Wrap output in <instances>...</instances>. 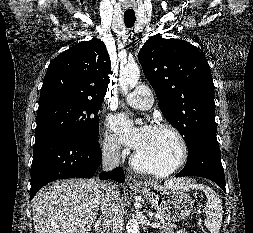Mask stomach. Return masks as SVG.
I'll return each instance as SVG.
<instances>
[{
    "label": "stomach",
    "instance_id": "obj_1",
    "mask_svg": "<svg viewBox=\"0 0 253 233\" xmlns=\"http://www.w3.org/2000/svg\"><path fill=\"white\" fill-rule=\"evenodd\" d=\"M138 191L149 201L157 214L169 222L181 221L193 210L194 200L179 188L144 183Z\"/></svg>",
    "mask_w": 253,
    "mask_h": 233
}]
</instances>
